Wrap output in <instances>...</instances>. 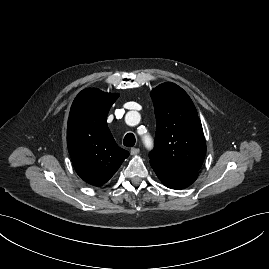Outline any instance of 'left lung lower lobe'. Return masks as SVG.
<instances>
[{
	"mask_svg": "<svg viewBox=\"0 0 269 269\" xmlns=\"http://www.w3.org/2000/svg\"><path fill=\"white\" fill-rule=\"evenodd\" d=\"M160 181L168 188L183 189L190 186L198 177V173L188 170L173 169L150 162Z\"/></svg>",
	"mask_w": 269,
	"mask_h": 269,
	"instance_id": "1",
	"label": "left lung lower lobe"
}]
</instances>
